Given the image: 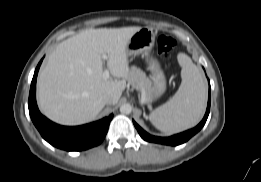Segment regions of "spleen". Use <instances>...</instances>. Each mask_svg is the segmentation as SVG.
I'll return each instance as SVG.
<instances>
[{
  "label": "spleen",
  "instance_id": "3e777b00",
  "mask_svg": "<svg viewBox=\"0 0 261 182\" xmlns=\"http://www.w3.org/2000/svg\"><path fill=\"white\" fill-rule=\"evenodd\" d=\"M182 82L175 95L150 115V122L166 134H174L195 126L202 118L207 98L204 78L191 58L178 54Z\"/></svg>",
  "mask_w": 261,
  "mask_h": 182
}]
</instances>
